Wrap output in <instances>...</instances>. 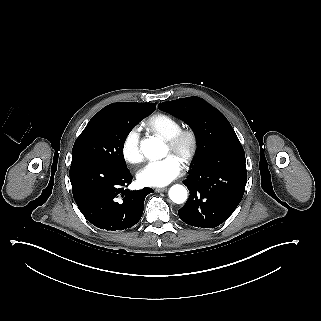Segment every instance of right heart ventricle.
Segmentation results:
<instances>
[{
	"label": "right heart ventricle",
	"instance_id": "right-heart-ventricle-1",
	"mask_svg": "<svg viewBox=\"0 0 321 321\" xmlns=\"http://www.w3.org/2000/svg\"><path fill=\"white\" fill-rule=\"evenodd\" d=\"M147 123L150 130L162 138L172 137L183 126L179 120L164 113H156L150 116Z\"/></svg>",
	"mask_w": 321,
	"mask_h": 321
}]
</instances>
